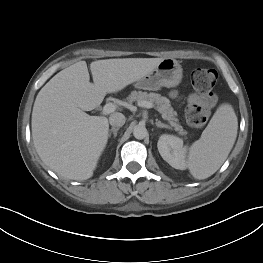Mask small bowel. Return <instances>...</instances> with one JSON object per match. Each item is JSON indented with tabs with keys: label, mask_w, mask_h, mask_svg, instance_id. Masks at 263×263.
Segmentation results:
<instances>
[{
	"label": "small bowel",
	"mask_w": 263,
	"mask_h": 263,
	"mask_svg": "<svg viewBox=\"0 0 263 263\" xmlns=\"http://www.w3.org/2000/svg\"><path fill=\"white\" fill-rule=\"evenodd\" d=\"M200 100L199 96L198 95H191L189 98H188V103L189 104H193L195 102H198Z\"/></svg>",
	"instance_id": "c3829d8e"
}]
</instances>
